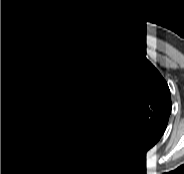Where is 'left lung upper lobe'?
<instances>
[{"mask_svg": "<svg viewBox=\"0 0 184 174\" xmlns=\"http://www.w3.org/2000/svg\"><path fill=\"white\" fill-rule=\"evenodd\" d=\"M111 74L116 98L128 99L126 126L163 135L171 114L168 84L137 49L122 47L112 56Z\"/></svg>", "mask_w": 184, "mask_h": 174, "instance_id": "1", "label": "left lung upper lobe"}]
</instances>
